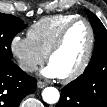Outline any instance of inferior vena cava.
Masks as SVG:
<instances>
[{
    "instance_id": "1",
    "label": "inferior vena cava",
    "mask_w": 107,
    "mask_h": 107,
    "mask_svg": "<svg viewBox=\"0 0 107 107\" xmlns=\"http://www.w3.org/2000/svg\"><path fill=\"white\" fill-rule=\"evenodd\" d=\"M19 67L26 72H34L37 70V66L34 64L26 63V62H21L19 64Z\"/></svg>"
}]
</instances>
